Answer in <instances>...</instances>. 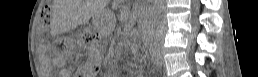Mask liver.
I'll return each instance as SVG.
<instances>
[{
	"instance_id": "6515ba94",
	"label": "liver",
	"mask_w": 258,
	"mask_h": 77,
	"mask_svg": "<svg viewBox=\"0 0 258 77\" xmlns=\"http://www.w3.org/2000/svg\"><path fill=\"white\" fill-rule=\"evenodd\" d=\"M88 13V8L83 7L78 0H55L54 15L70 27L82 22V17Z\"/></svg>"
}]
</instances>
